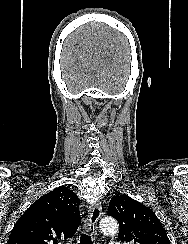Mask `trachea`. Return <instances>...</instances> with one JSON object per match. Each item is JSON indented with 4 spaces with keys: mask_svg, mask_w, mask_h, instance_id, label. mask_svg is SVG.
I'll return each mask as SVG.
<instances>
[{
    "mask_svg": "<svg viewBox=\"0 0 188 244\" xmlns=\"http://www.w3.org/2000/svg\"><path fill=\"white\" fill-rule=\"evenodd\" d=\"M80 244H93L89 234L82 233L80 237Z\"/></svg>",
    "mask_w": 188,
    "mask_h": 244,
    "instance_id": "3493384b",
    "label": "trachea"
}]
</instances>
